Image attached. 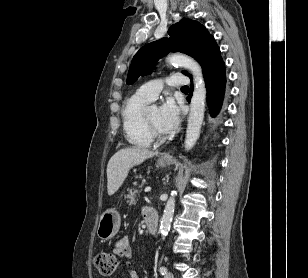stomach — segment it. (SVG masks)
Listing matches in <instances>:
<instances>
[{
  "mask_svg": "<svg viewBox=\"0 0 308 278\" xmlns=\"http://www.w3.org/2000/svg\"><path fill=\"white\" fill-rule=\"evenodd\" d=\"M160 167H166L169 161L158 160ZM121 218L117 211L113 209L106 210L100 217L97 235L101 240H109L119 231Z\"/></svg>",
  "mask_w": 308,
  "mask_h": 278,
  "instance_id": "stomach-1",
  "label": "stomach"
}]
</instances>
